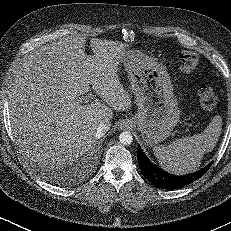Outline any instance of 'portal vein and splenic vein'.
<instances>
[{
	"instance_id": "1",
	"label": "portal vein and splenic vein",
	"mask_w": 231,
	"mask_h": 231,
	"mask_svg": "<svg viewBox=\"0 0 231 231\" xmlns=\"http://www.w3.org/2000/svg\"><path fill=\"white\" fill-rule=\"evenodd\" d=\"M94 99V96L92 94H89L88 96H85V97H82V98H79L77 101L78 103H88L90 100Z\"/></svg>"
}]
</instances>
